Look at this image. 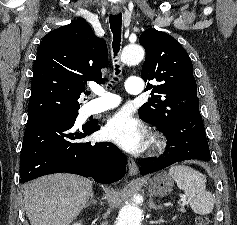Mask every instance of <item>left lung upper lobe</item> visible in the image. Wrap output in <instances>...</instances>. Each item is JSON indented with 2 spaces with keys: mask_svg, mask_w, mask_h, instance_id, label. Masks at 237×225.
Returning a JSON list of instances; mask_svg holds the SVG:
<instances>
[{
  "mask_svg": "<svg viewBox=\"0 0 237 225\" xmlns=\"http://www.w3.org/2000/svg\"><path fill=\"white\" fill-rule=\"evenodd\" d=\"M139 42L146 51L141 77L158 82L147 84L151 99L139 108L140 117L163 132L199 109L192 62L181 44L164 32L149 28Z\"/></svg>",
  "mask_w": 237,
  "mask_h": 225,
  "instance_id": "obj_1",
  "label": "left lung upper lobe"
}]
</instances>
